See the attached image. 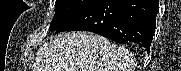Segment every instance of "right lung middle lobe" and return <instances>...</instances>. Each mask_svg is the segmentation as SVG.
Listing matches in <instances>:
<instances>
[{
  "label": "right lung middle lobe",
  "mask_w": 181,
  "mask_h": 71,
  "mask_svg": "<svg viewBox=\"0 0 181 71\" xmlns=\"http://www.w3.org/2000/svg\"><path fill=\"white\" fill-rule=\"evenodd\" d=\"M93 1L94 0H56L55 15L51 21L50 29H58Z\"/></svg>",
  "instance_id": "1"
}]
</instances>
